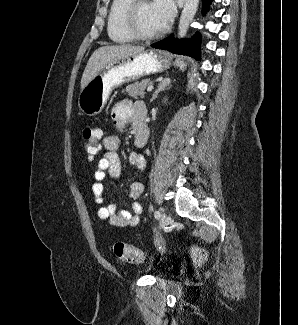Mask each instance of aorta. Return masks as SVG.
<instances>
[{
  "instance_id": "obj_1",
  "label": "aorta",
  "mask_w": 298,
  "mask_h": 325,
  "mask_svg": "<svg viewBox=\"0 0 298 325\" xmlns=\"http://www.w3.org/2000/svg\"><path fill=\"white\" fill-rule=\"evenodd\" d=\"M198 4H199V0H186L182 8V12L178 24V30H177L178 40H182V38H185L188 32L189 24L191 20H193L196 14Z\"/></svg>"
}]
</instances>
